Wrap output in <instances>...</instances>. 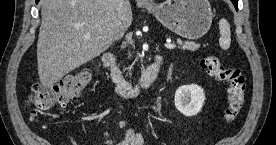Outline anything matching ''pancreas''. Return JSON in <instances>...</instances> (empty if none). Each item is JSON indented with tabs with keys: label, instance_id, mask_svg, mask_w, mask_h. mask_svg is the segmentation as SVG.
Returning <instances> with one entry per match:
<instances>
[{
	"label": "pancreas",
	"instance_id": "obj_1",
	"mask_svg": "<svg viewBox=\"0 0 276 145\" xmlns=\"http://www.w3.org/2000/svg\"><path fill=\"white\" fill-rule=\"evenodd\" d=\"M177 43L181 46L183 50L195 51L200 48V45L194 42L177 40Z\"/></svg>",
	"mask_w": 276,
	"mask_h": 145
}]
</instances>
